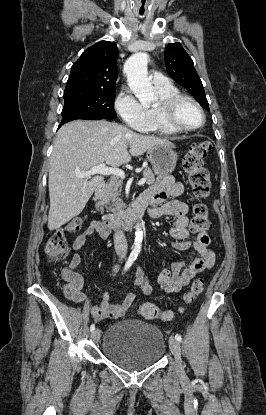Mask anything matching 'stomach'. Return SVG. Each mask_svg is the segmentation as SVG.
I'll return each mask as SVG.
<instances>
[{"label": "stomach", "mask_w": 266, "mask_h": 415, "mask_svg": "<svg viewBox=\"0 0 266 415\" xmlns=\"http://www.w3.org/2000/svg\"><path fill=\"white\" fill-rule=\"evenodd\" d=\"M147 158L158 176L172 173L177 162V154L167 144H157L150 147L147 150Z\"/></svg>", "instance_id": "stomach-1"}]
</instances>
